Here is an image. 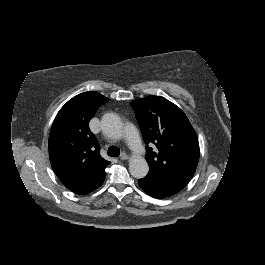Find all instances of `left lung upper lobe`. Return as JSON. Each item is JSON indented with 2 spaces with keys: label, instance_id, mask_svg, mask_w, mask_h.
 I'll return each instance as SVG.
<instances>
[{
  "label": "left lung upper lobe",
  "instance_id": "left-lung-upper-lobe-1",
  "mask_svg": "<svg viewBox=\"0 0 265 265\" xmlns=\"http://www.w3.org/2000/svg\"><path fill=\"white\" fill-rule=\"evenodd\" d=\"M136 118L147 146L148 175L167 181L189 182L199 160L197 135L184 112L161 96L133 100Z\"/></svg>",
  "mask_w": 265,
  "mask_h": 265
}]
</instances>
